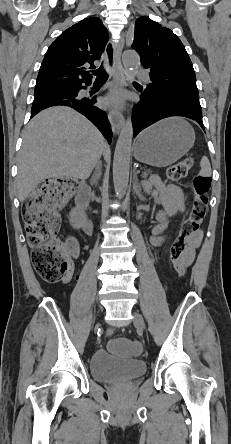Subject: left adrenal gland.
I'll list each match as a JSON object with an SVG mask.
<instances>
[{
  "label": "left adrenal gland",
  "instance_id": "a2214340",
  "mask_svg": "<svg viewBox=\"0 0 231 444\" xmlns=\"http://www.w3.org/2000/svg\"><path fill=\"white\" fill-rule=\"evenodd\" d=\"M133 189H134V192L136 193V195L138 196V198L141 201H145V197L141 193V187H140V184L138 182V178H137L136 174H135V180H134V184H133Z\"/></svg>",
  "mask_w": 231,
  "mask_h": 444
}]
</instances>
